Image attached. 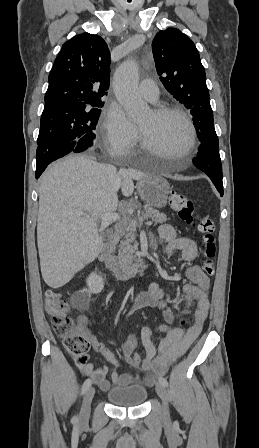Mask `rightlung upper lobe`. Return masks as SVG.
Segmentation results:
<instances>
[{"mask_svg":"<svg viewBox=\"0 0 259 448\" xmlns=\"http://www.w3.org/2000/svg\"><path fill=\"white\" fill-rule=\"evenodd\" d=\"M109 67L110 52L100 36L82 33L68 40L49 74L42 114L102 105L109 88Z\"/></svg>","mask_w":259,"mask_h":448,"instance_id":"obj_1","label":"right lung upper lobe"}]
</instances>
